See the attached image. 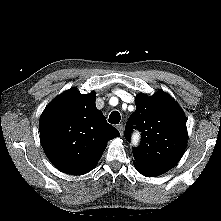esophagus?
Masks as SVG:
<instances>
[{
  "instance_id": "esophagus-1",
  "label": "esophagus",
  "mask_w": 221,
  "mask_h": 221,
  "mask_svg": "<svg viewBox=\"0 0 221 221\" xmlns=\"http://www.w3.org/2000/svg\"><path fill=\"white\" fill-rule=\"evenodd\" d=\"M117 129L119 130V132H120V134L122 136L124 134V126H123V124H119L117 126Z\"/></svg>"
}]
</instances>
